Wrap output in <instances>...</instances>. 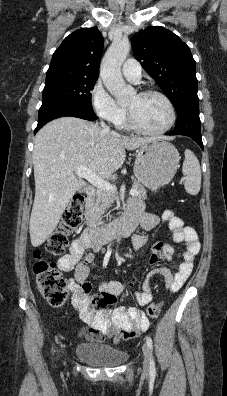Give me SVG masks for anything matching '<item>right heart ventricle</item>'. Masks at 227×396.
<instances>
[{
    "mask_svg": "<svg viewBox=\"0 0 227 396\" xmlns=\"http://www.w3.org/2000/svg\"><path fill=\"white\" fill-rule=\"evenodd\" d=\"M116 125L121 129H128L129 125L126 116L124 115V117Z\"/></svg>",
    "mask_w": 227,
    "mask_h": 396,
    "instance_id": "e07e8e85",
    "label": "right heart ventricle"
}]
</instances>
